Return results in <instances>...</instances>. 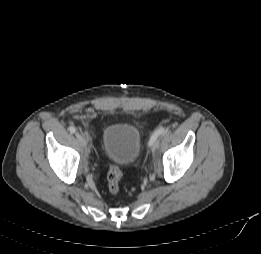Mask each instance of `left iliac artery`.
I'll return each instance as SVG.
<instances>
[{
	"instance_id": "obj_1",
	"label": "left iliac artery",
	"mask_w": 261,
	"mask_h": 254,
	"mask_svg": "<svg viewBox=\"0 0 261 254\" xmlns=\"http://www.w3.org/2000/svg\"><path fill=\"white\" fill-rule=\"evenodd\" d=\"M168 131V128H165V127H161V128H158L154 131V133L152 134V136L150 137V140H149V147L152 146L153 142L160 136V135H163L165 134L166 132Z\"/></svg>"
}]
</instances>
